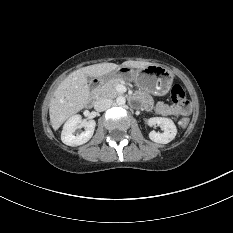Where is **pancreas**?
<instances>
[{
	"instance_id": "pancreas-1",
	"label": "pancreas",
	"mask_w": 233,
	"mask_h": 233,
	"mask_svg": "<svg viewBox=\"0 0 233 233\" xmlns=\"http://www.w3.org/2000/svg\"><path fill=\"white\" fill-rule=\"evenodd\" d=\"M124 83L125 81L123 79H111L97 88L94 94L97 98H115L121 95V93L116 90V86Z\"/></svg>"
}]
</instances>
